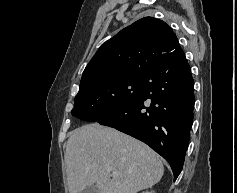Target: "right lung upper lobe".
<instances>
[{"label":"right lung upper lobe","instance_id":"cb5924a9","mask_svg":"<svg viewBox=\"0 0 237 193\" xmlns=\"http://www.w3.org/2000/svg\"><path fill=\"white\" fill-rule=\"evenodd\" d=\"M181 50L172 29L145 17L106 41L86 66L80 88L122 77H145L162 60Z\"/></svg>","mask_w":237,"mask_h":193}]
</instances>
